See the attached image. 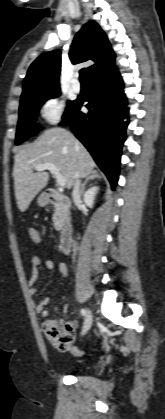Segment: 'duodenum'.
Segmentation results:
<instances>
[{
	"instance_id": "410a0bca",
	"label": "duodenum",
	"mask_w": 165,
	"mask_h": 419,
	"mask_svg": "<svg viewBox=\"0 0 165 419\" xmlns=\"http://www.w3.org/2000/svg\"><path fill=\"white\" fill-rule=\"evenodd\" d=\"M44 196L48 205L56 206L59 210L61 217L59 244L61 251L67 253L73 237V227L70 219L72 203L61 192L54 189L47 190Z\"/></svg>"
}]
</instances>
